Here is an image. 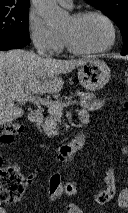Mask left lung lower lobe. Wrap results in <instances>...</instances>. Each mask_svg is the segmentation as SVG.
Instances as JSON below:
<instances>
[{"instance_id": "0a47b994", "label": "left lung lower lobe", "mask_w": 128, "mask_h": 213, "mask_svg": "<svg viewBox=\"0 0 128 213\" xmlns=\"http://www.w3.org/2000/svg\"><path fill=\"white\" fill-rule=\"evenodd\" d=\"M121 54H122V55H126V54H128V52H123V51H122V53H121Z\"/></svg>"}]
</instances>
